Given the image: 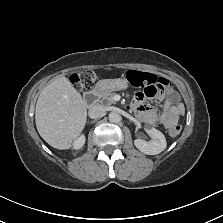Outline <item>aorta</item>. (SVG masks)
Segmentation results:
<instances>
[{"instance_id": "762f6f07", "label": "aorta", "mask_w": 223, "mask_h": 223, "mask_svg": "<svg viewBox=\"0 0 223 223\" xmlns=\"http://www.w3.org/2000/svg\"><path fill=\"white\" fill-rule=\"evenodd\" d=\"M108 119L111 122H118L120 119V115L116 112H110L108 115Z\"/></svg>"}]
</instances>
